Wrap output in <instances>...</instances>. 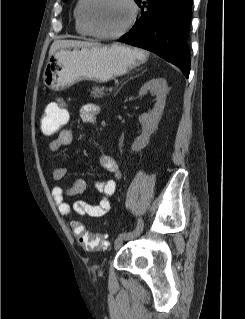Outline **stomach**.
<instances>
[{
  "label": "stomach",
  "mask_w": 245,
  "mask_h": 319,
  "mask_svg": "<svg viewBox=\"0 0 245 319\" xmlns=\"http://www.w3.org/2000/svg\"><path fill=\"white\" fill-rule=\"evenodd\" d=\"M146 59L145 51L119 44L62 48L49 56L43 82L54 91L67 89L82 80L105 82Z\"/></svg>",
  "instance_id": "obj_1"
}]
</instances>
